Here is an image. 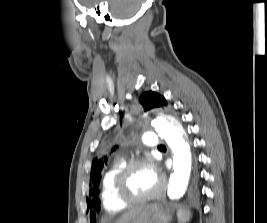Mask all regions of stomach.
<instances>
[{
    "mask_svg": "<svg viewBox=\"0 0 267 223\" xmlns=\"http://www.w3.org/2000/svg\"><path fill=\"white\" fill-rule=\"evenodd\" d=\"M172 219L170 210L159 202L145 204L141 211L126 223H169Z\"/></svg>",
    "mask_w": 267,
    "mask_h": 223,
    "instance_id": "1",
    "label": "stomach"
}]
</instances>
